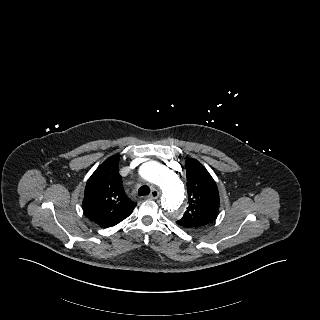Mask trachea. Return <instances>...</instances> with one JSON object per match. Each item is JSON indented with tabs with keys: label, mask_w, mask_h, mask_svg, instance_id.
I'll return each instance as SVG.
<instances>
[{
	"label": "trachea",
	"mask_w": 320,
	"mask_h": 320,
	"mask_svg": "<svg viewBox=\"0 0 320 320\" xmlns=\"http://www.w3.org/2000/svg\"><path fill=\"white\" fill-rule=\"evenodd\" d=\"M150 192V189L148 188V186L146 185H143L139 188L138 190V194L139 196H145V195H148Z\"/></svg>",
	"instance_id": "3493384b"
}]
</instances>
